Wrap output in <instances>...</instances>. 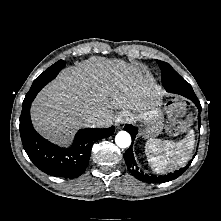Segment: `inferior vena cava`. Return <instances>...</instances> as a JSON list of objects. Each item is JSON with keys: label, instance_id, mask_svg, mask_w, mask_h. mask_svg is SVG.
Masks as SVG:
<instances>
[{"label": "inferior vena cava", "instance_id": "inferior-vena-cava-1", "mask_svg": "<svg viewBox=\"0 0 221 221\" xmlns=\"http://www.w3.org/2000/svg\"><path fill=\"white\" fill-rule=\"evenodd\" d=\"M98 120V116L96 114H93V115H90L88 118H87V122L88 123H94Z\"/></svg>", "mask_w": 221, "mask_h": 221}]
</instances>
